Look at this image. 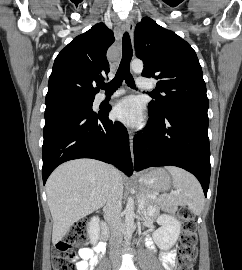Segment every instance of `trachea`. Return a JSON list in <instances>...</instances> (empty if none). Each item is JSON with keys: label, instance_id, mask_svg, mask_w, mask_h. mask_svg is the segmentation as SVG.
<instances>
[{"label": "trachea", "instance_id": "3493384b", "mask_svg": "<svg viewBox=\"0 0 242 270\" xmlns=\"http://www.w3.org/2000/svg\"><path fill=\"white\" fill-rule=\"evenodd\" d=\"M122 47V59L114 79L108 84H102L100 86L106 92L115 91L118 87L121 86L124 79L128 86L135 88L134 79L130 73V61L132 59L133 51L130 36L127 32H125L123 35Z\"/></svg>", "mask_w": 242, "mask_h": 270}]
</instances>
